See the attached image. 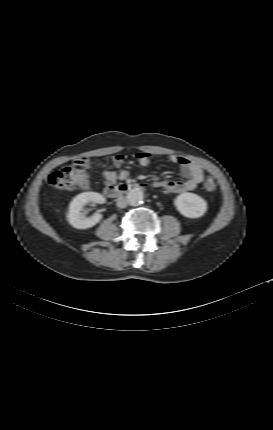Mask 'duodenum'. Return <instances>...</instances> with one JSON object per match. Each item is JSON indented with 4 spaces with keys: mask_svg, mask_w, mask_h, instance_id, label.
<instances>
[{
    "mask_svg": "<svg viewBox=\"0 0 273 430\" xmlns=\"http://www.w3.org/2000/svg\"><path fill=\"white\" fill-rule=\"evenodd\" d=\"M142 188L143 186L137 183H122L119 185H108L105 188V194L109 198H117L121 195L129 193L130 191H134Z\"/></svg>",
    "mask_w": 273,
    "mask_h": 430,
    "instance_id": "obj_1",
    "label": "duodenum"
}]
</instances>
